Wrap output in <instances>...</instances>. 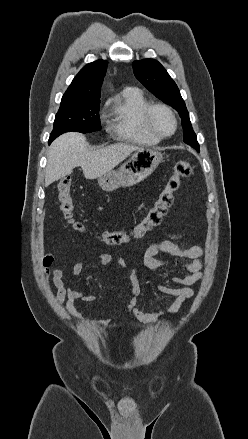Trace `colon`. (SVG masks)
Wrapping results in <instances>:
<instances>
[{"label": "colon", "mask_w": 248, "mask_h": 439, "mask_svg": "<svg viewBox=\"0 0 248 439\" xmlns=\"http://www.w3.org/2000/svg\"><path fill=\"white\" fill-rule=\"evenodd\" d=\"M192 165L187 160L178 161L172 174L166 181L165 187L160 192L157 200L148 210L145 217L130 230H112L90 232L89 235L97 242L106 246H118L133 238L143 236L147 231L158 225L167 213L174 200V194L180 188L181 181L192 173ZM59 208L64 220L78 232H84V226L74 218V206L71 197V181L63 178L58 184Z\"/></svg>", "instance_id": "5ec220e1"}]
</instances>
